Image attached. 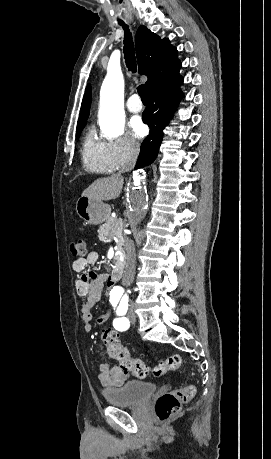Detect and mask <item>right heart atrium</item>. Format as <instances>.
I'll list each match as a JSON object with an SVG mask.
<instances>
[{
  "mask_svg": "<svg viewBox=\"0 0 271 459\" xmlns=\"http://www.w3.org/2000/svg\"><path fill=\"white\" fill-rule=\"evenodd\" d=\"M141 145L129 133L109 142V153L116 167L133 163L140 154Z\"/></svg>",
  "mask_w": 271,
  "mask_h": 459,
  "instance_id": "d8ad5b80",
  "label": "right heart atrium"
}]
</instances>
